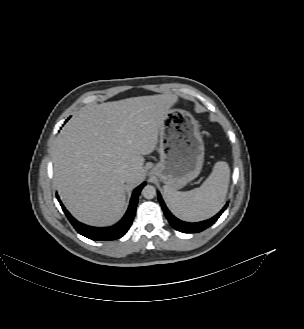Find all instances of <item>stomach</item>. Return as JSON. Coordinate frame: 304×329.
I'll return each mask as SVG.
<instances>
[{"mask_svg":"<svg viewBox=\"0 0 304 329\" xmlns=\"http://www.w3.org/2000/svg\"><path fill=\"white\" fill-rule=\"evenodd\" d=\"M160 161L150 174L173 189L194 180L204 162V143L198 121L182 109H170L165 115L159 140Z\"/></svg>","mask_w":304,"mask_h":329,"instance_id":"stomach-1","label":"stomach"}]
</instances>
